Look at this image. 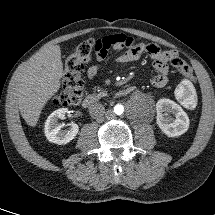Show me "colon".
I'll use <instances>...</instances> for the list:
<instances>
[{
  "label": "colon",
  "instance_id": "colon-1",
  "mask_svg": "<svg viewBox=\"0 0 215 215\" xmlns=\"http://www.w3.org/2000/svg\"><path fill=\"white\" fill-rule=\"evenodd\" d=\"M94 52H96V43L94 40L90 39L80 43L75 50L65 58L63 89L55 96V104L68 106L80 102L84 88V82L81 76L84 63L90 60ZM171 63L179 69L186 78L193 79L192 71L183 58L176 55L171 59Z\"/></svg>",
  "mask_w": 215,
  "mask_h": 215
}]
</instances>
